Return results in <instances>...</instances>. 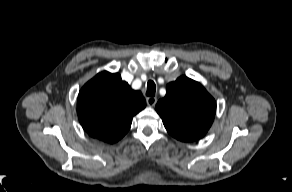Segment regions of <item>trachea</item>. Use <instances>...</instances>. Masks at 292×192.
<instances>
[{"label": "trachea", "instance_id": "3493384b", "mask_svg": "<svg viewBox=\"0 0 292 192\" xmlns=\"http://www.w3.org/2000/svg\"><path fill=\"white\" fill-rule=\"evenodd\" d=\"M155 92H156L155 83L152 80L148 81L146 95L149 97H153V96H155Z\"/></svg>", "mask_w": 292, "mask_h": 192}]
</instances>
